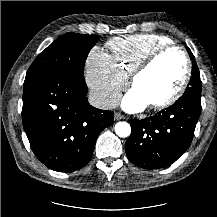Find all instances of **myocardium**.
Here are the masks:
<instances>
[{
	"instance_id": "1",
	"label": "myocardium",
	"mask_w": 217,
	"mask_h": 217,
	"mask_svg": "<svg viewBox=\"0 0 217 217\" xmlns=\"http://www.w3.org/2000/svg\"><path fill=\"white\" fill-rule=\"evenodd\" d=\"M172 51H176V52L180 53L184 59V63H185L184 76L181 80L180 85L178 86V88L175 90L174 93H172L170 96H168L162 100L149 103V106L151 108L163 109L165 107L172 105L173 103L178 101L184 95V93L186 92V90L188 88V85H189L190 79H191V75H192V64H191V60H190L188 53L186 52V50L183 47H181L179 45H175V44H169V45L159 47L156 50H154L147 58H145L133 70V72L131 74L130 85L132 88H134V85H135L137 79L143 73H145L156 62V60L160 56H162L168 52H172Z\"/></svg>"
}]
</instances>
